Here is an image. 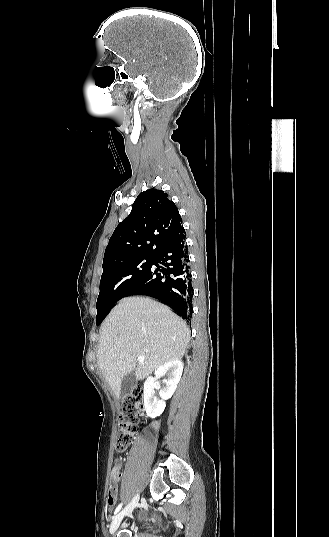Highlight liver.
Returning <instances> with one entry per match:
<instances>
[{"label":"liver","instance_id":"6515ba94","mask_svg":"<svg viewBox=\"0 0 329 537\" xmlns=\"http://www.w3.org/2000/svg\"><path fill=\"white\" fill-rule=\"evenodd\" d=\"M190 340L186 322L148 297H127L116 305L100 331L98 366L119 398L125 375L141 380L172 360H180ZM138 356L145 360L139 362Z\"/></svg>","mask_w":329,"mask_h":537}]
</instances>
